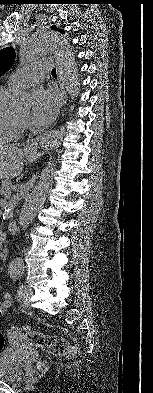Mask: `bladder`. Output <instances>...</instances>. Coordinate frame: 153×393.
<instances>
[{
    "mask_svg": "<svg viewBox=\"0 0 153 393\" xmlns=\"http://www.w3.org/2000/svg\"><path fill=\"white\" fill-rule=\"evenodd\" d=\"M24 374L21 365L16 361L14 349L0 351V380L19 382Z\"/></svg>",
    "mask_w": 153,
    "mask_h": 393,
    "instance_id": "31cf9c89",
    "label": "bladder"
}]
</instances>
